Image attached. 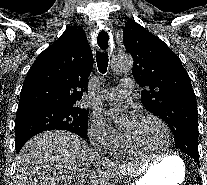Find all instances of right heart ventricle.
Listing matches in <instances>:
<instances>
[{
    "label": "right heart ventricle",
    "mask_w": 207,
    "mask_h": 185,
    "mask_svg": "<svg viewBox=\"0 0 207 185\" xmlns=\"http://www.w3.org/2000/svg\"><path fill=\"white\" fill-rule=\"evenodd\" d=\"M108 153L116 159L128 158L131 156L125 151L123 144L120 140L113 145Z\"/></svg>",
    "instance_id": "right-heart-ventricle-1"
}]
</instances>
